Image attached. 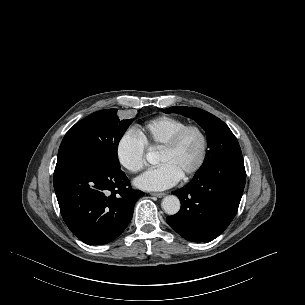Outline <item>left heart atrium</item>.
Segmentation results:
<instances>
[{
  "label": "left heart atrium",
  "instance_id": "39dd6f15",
  "mask_svg": "<svg viewBox=\"0 0 305 305\" xmlns=\"http://www.w3.org/2000/svg\"><path fill=\"white\" fill-rule=\"evenodd\" d=\"M181 178V173L174 166L161 163L136 178L135 185L144 190H165L177 184Z\"/></svg>",
  "mask_w": 305,
  "mask_h": 305
}]
</instances>
